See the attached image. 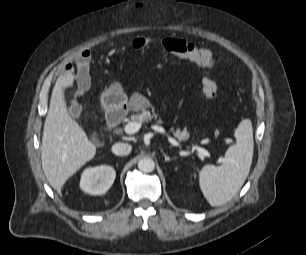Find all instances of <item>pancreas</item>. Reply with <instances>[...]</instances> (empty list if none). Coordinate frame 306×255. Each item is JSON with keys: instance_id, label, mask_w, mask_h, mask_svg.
Masks as SVG:
<instances>
[{"instance_id": "obj_1", "label": "pancreas", "mask_w": 306, "mask_h": 255, "mask_svg": "<svg viewBox=\"0 0 306 255\" xmlns=\"http://www.w3.org/2000/svg\"><path fill=\"white\" fill-rule=\"evenodd\" d=\"M133 105V109L135 111H140V113L131 115V120L138 123L149 122L152 119L157 120L158 115L152 110L151 112L146 110V107L149 106V103L146 99L143 98V101L138 103L135 97L132 98L131 101ZM158 123H162V120L159 118ZM173 135L179 140H186L189 138V133L186 130L181 131L180 129L174 130L172 128Z\"/></svg>"}]
</instances>
